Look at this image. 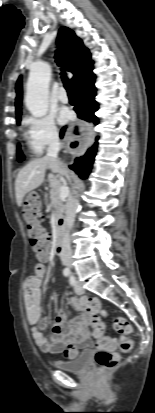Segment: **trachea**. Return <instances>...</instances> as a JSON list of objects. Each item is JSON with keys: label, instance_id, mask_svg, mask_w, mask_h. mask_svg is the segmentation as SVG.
<instances>
[{"label": "trachea", "instance_id": "3493384b", "mask_svg": "<svg viewBox=\"0 0 155 413\" xmlns=\"http://www.w3.org/2000/svg\"><path fill=\"white\" fill-rule=\"evenodd\" d=\"M55 58H56L57 64H58L59 66H61V64H62V56H61V54H60L59 51L56 52ZM61 78H62L64 87H65V89L67 90V93H68L69 95H74V90H73V87H72V83H71V81L67 78V75H66L65 72H62V73H61Z\"/></svg>", "mask_w": 155, "mask_h": 413}]
</instances>
